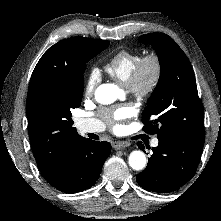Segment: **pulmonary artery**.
Listing matches in <instances>:
<instances>
[{
    "instance_id": "obj_1",
    "label": "pulmonary artery",
    "mask_w": 221,
    "mask_h": 221,
    "mask_svg": "<svg viewBox=\"0 0 221 221\" xmlns=\"http://www.w3.org/2000/svg\"><path fill=\"white\" fill-rule=\"evenodd\" d=\"M77 129L80 133H97L101 132L104 129L102 122L94 118H87V119H78L76 121ZM159 141L158 139H154L152 141V145L154 147L158 146Z\"/></svg>"
}]
</instances>
